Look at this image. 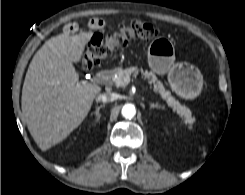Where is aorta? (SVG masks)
<instances>
[{
	"label": "aorta",
	"mask_w": 245,
	"mask_h": 195,
	"mask_svg": "<svg viewBox=\"0 0 245 195\" xmlns=\"http://www.w3.org/2000/svg\"><path fill=\"white\" fill-rule=\"evenodd\" d=\"M136 114V109L135 106L133 104H125L122 108V115L125 118H133Z\"/></svg>",
	"instance_id": "aorta-1"
}]
</instances>
